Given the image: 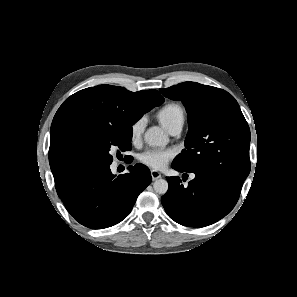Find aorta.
Returning a JSON list of instances; mask_svg holds the SVG:
<instances>
[{"mask_svg":"<svg viewBox=\"0 0 297 297\" xmlns=\"http://www.w3.org/2000/svg\"><path fill=\"white\" fill-rule=\"evenodd\" d=\"M144 140L152 147H162L169 142L168 136L157 126L151 127L145 132ZM153 187L158 194H165L168 190V182L165 179H157Z\"/></svg>","mask_w":297,"mask_h":297,"instance_id":"aorta-1","label":"aorta"}]
</instances>
